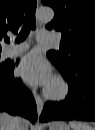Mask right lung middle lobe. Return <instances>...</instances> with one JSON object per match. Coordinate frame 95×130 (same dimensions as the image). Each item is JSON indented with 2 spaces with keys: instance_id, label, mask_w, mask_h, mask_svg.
<instances>
[{
  "instance_id": "right-lung-middle-lobe-1",
  "label": "right lung middle lobe",
  "mask_w": 95,
  "mask_h": 130,
  "mask_svg": "<svg viewBox=\"0 0 95 130\" xmlns=\"http://www.w3.org/2000/svg\"><path fill=\"white\" fill-rule=\"evenodd\" d=\"M7 67H5L3 64H0V72H3L6 70Z\"/></svg>"
}]
</instances>
